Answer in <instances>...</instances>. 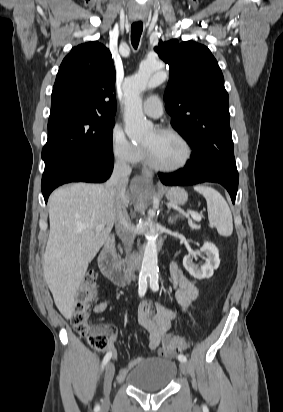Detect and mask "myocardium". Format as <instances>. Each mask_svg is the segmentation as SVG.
<instances>
[{
	"label": "myocardium",
	"instance_id": "f54148a6",
	"mask_svg": "<svg viewBox=\"0 0 283 412\" xmlns=\"http://www.w3.org/2000/svg\"><path fill=\"white\" fill-rule=\"evenodd\" d=\"M156 131L158 133L170 134L176 137L183 144L185 148V156L182 162L179 163L178 165L171 166V167L161 166L152 159L149 149L145 145H143L144 157H145V161L148 164V166L156 171H162V172H177L185 168L189 164L192 158V154H193L192 147L189 141L187 140V138L178 130L174 128H170V127H159L156 129Z\"/></svg>",
	"mask_w": 283,
	"mask_h": 412
}]
</instances>
